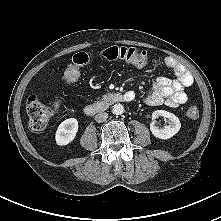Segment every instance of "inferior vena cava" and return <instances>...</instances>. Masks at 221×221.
<instances>
[{"mask_svg": "<svg viewBox=\"0 0 221 221\" xmlns=\"http://www.w3.org/2000/svg\"><path fill=\"white\" fill-rule=\"evenodd\" d=\"M107 118H108L107 113H99L95 116V121L98 123H102V122L106 121Z\"/></svg>", "mask_w": 221, "mask_h": 221, "instance_id": "602c4592", "label": "inferior vena cava"}]
</instances>
